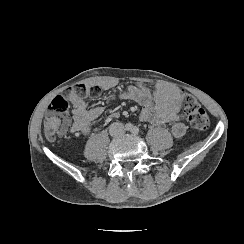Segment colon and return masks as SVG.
Listing matches in <instances>:
<instances>
[{
  "label": "colon",
  "instance_id": "1",
  "mask_svg": "<svg viewBox=\"0 0 244 244\" xmlns=\"http://www.w3.org/2000/svg\"><path fill=\"white\" fill-rule=\"evenodd\" d=\"M100 92L101 89L98 85H91L90 87H86L84 84L69 85L67 91L63 95L56 96L48 106L43 121L45 136L54 139L68 131L70 126L68 97L79 95L81 98H89L90 96H98ZM180 104L188 109L189 121L194 128L204 130L208 127V114L195 96L190 93L181 94Z\"/></svg>",
  "mask_w": 244,
  "mask_h": 244
}]
</instances>
